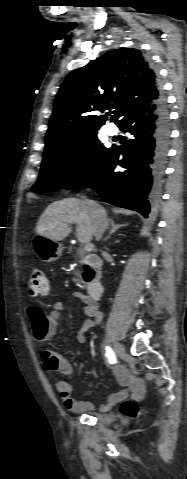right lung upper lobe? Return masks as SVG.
I'll return each instance as SVG.
<instances>
[{
    "label": "right lung upper lobe",
    "mask_w": 187,
    "mask_h": 479,
    "mask_svg": "<svg viewBox=\"0 0 187 479\" xmlns=\"http://www.w3.org/2000/svg\"><path fill=\"white\" fill-rule=\"evenodd\" d=\"M161 94L158 76L139 50L110 51L71 72L61 85L46 133L45 150L97 132L112 109L119 125L137 108L151 106Z\"/></svg>",
    "instance_id": "1"
}]
</instances>
